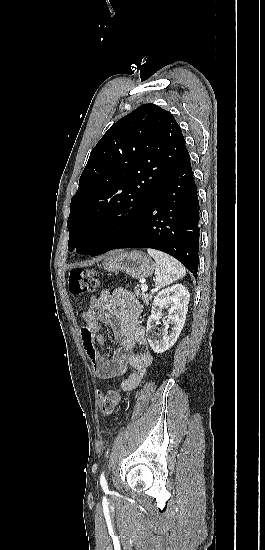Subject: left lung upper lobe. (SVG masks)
Masks as SVG:
<instances>
[{
	"instance_id": "5c2ea615",
	"label": "left lung upper lobe",
	"mask_w": 265,
	"mask_h": 550,
	"mask_svg": "<svg viewBox=\"0 0 265 550\" xmlns=\"http://www.w3.org/2000/svg\"><path fill=\"white\" fill-rule=\"evenodd\" d=\"M187 153L172 114L145 104L118 120L92 149L71 200L69 249L97 255L139 219Z\"/></svg>"
}]
</instances>
